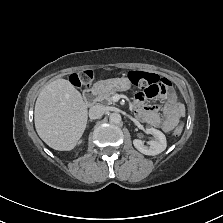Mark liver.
Returning <instances> with one entry per match:
<instances>
[{
	"label": "liver",
	"mask_w": 223,
	"mask_h": 223,
	"mask_svg": "<svg viewBox=\"0 0 223 223\" xmlns=\"http://www.w3.org/2000/svg\"><path fill=\"white\" fill-rule=\"evenodd\" d=\"M87 105L66 79L45 86L35 104L34 121L39 137L51 148L72 150L87 123Z\"/></svg>",
	"instance_id": "obj_1"
}]
</instances>
